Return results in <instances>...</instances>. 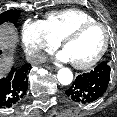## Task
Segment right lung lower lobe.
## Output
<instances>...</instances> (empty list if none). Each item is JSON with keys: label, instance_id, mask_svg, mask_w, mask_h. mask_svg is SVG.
<instances>
[{"label": "right lung lower lobe", "instance_id": "98d812e1", "mask_svg": "<svg viewBox=\"0 0 117 117\" xmlns=\"http://www.w3.org/2000/svg\"><path fill=\"white\" fill-rule=\"evenodd\" d=\"M30 70V64L12 67L8 76L0 79V108H10L22 100L28 88Z\"/></svg>", "mask_w": 117, "mask_h": 117}]
</instances>
